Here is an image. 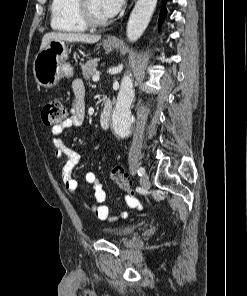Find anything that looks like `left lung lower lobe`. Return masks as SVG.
<instances>
[{"mask_svg": "<svg viewBox=\"0 0 247 296\" xmlns=\"http://www.w3.org/2000/svg\"><path fill=\"white\" fill-rule=\"evenodd\" d=\"M166 0H163V4H165ZM166 16V10L163 8L160 18H159V23H161V21L164 19V17Z\"/></svg>", "mask_w": 247, "mask_h": 296, "instance_id": "obj_1", "label": "left lung lower lobe"}]
</instances>
